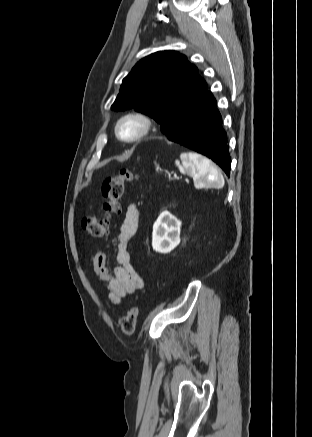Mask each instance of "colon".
Instances as JSON below:
<instances>
[{"label": "colon", "mask_w": 312, "mask_h": 437, "mask_svg": "<svg viewBox=\"0 0 312 437\" xmlns=\"http://www.w3.org/2000/svg\"><path fill=\"white\" fill-rule=\"evenodd\" d=\"M136 178V174L130 169H122L118 175L106 178L101 187L104 198V217L97 219L91 215L82 218L81 225L83 230L90 236L96 238L106 237L110 233L114 218L121 211V199L124 192V185ZM138 309L130 308L120 319V328L126 335H131L136 327Z\"/></svg>", "instance_id": "5ec220e1"}]
</instances>
